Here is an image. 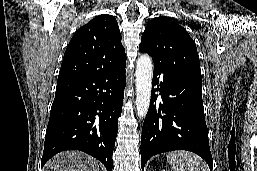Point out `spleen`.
Masks as SVG:
<instances>
[{
  "label": "spleen",
  "instance_id": "1",
  "mask_svg": "<svg viewBox=\"0 0 257 171\" xmlns=\"http://www.w3.org/2000/svg\"><path fill=\"white\" fill-rule=\"evenodd\" d=\"M174 171H209L206 163L196 154L188 151H175L167 156Z\"/></svg>",
  "mask_w": 257,
  "mask_h": 171
}]
</instances>
